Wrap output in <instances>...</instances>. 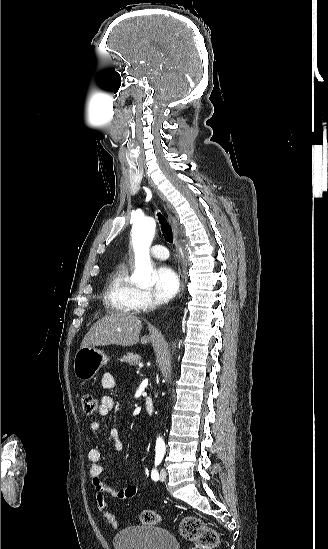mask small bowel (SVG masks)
Listing matches in <instances>:
<instances>
[{"label": "small bowel", "mask_w": 328, "mask_h": 549, "mask_svg": "<svg viewBox=\"0 0 328 549\" xmlns=\"http://www.w3.org/2000/svg\"><path fill=\"white\" fill-rule=\"evenodd\" d=\"M115 384V378L111 373L107 372L102 376L101 385L104 389H113L115 387ZM114 405V399L109 395H105L100 400L98 413L101 416L108 415L113 410ZM101 426L102 424L99 420H93L90 423V429L92 431H99L101 429ZM110 436L114 440L113 450L114 453L117 455L122 450V443L118 439V431L116 429H112L110 431ZM87 459L89 463V476L91 477L93 485L97 490L102 489L105 494H109L110 496L119 500H129L136 496L138 492V486L136 484H130L124 488H115L104 481V478L102 476L103 467L100 464L101 452L99 449H90L87 454Z\"/></svg>", "instance_id": "obj_1"}]
</instances>
